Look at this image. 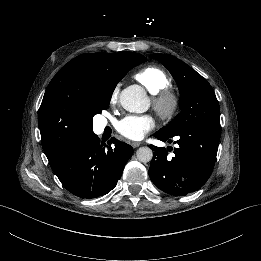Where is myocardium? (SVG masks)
Returning a JSON list of instances; mask_svg holds the SVG:
<instances>
[{"instance_id": "1", "label": "myocardium", "mask_w": 261, "mask_h": 261, "mask_svg": "<svg viewBox=\"0 0 261 261\" xmlns=\"http://www.w3.org/2000/svg\"><path fill=\"white\" fill-rule=\"evenodd\" d=\"M152 103L159 117L168 121L176 114L180 101L173 90L165 88L154 96Z\"/></svg>"}]
</instances>
